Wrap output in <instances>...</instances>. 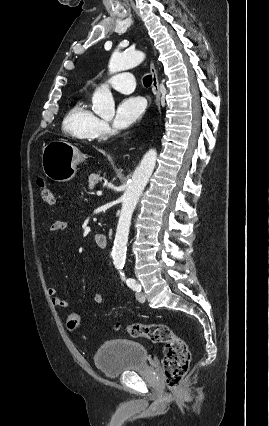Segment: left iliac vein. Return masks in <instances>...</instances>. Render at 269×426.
Segmentation results:
<instances>
[{"label":"left iliac vein","instance_id":"left-iliac-vein-1","mask_svg":"<svg viewBox=\"0 0 269 426\" xmlns=\"http://www.w3.org/2000/svg\"><path fill=\"white\" fill-rule=\"evenodd\" d=\"M136 298L139 302L143 303L145 301V295L143 292H137L136 293Z\"/></svg>","mask_w":269,"mask_h":426}]
</instances>
